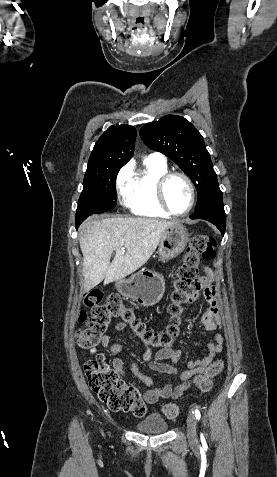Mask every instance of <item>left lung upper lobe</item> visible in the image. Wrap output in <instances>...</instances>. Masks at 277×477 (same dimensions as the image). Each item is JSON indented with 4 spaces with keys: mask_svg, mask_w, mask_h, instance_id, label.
I'll use <instances>...</instances> for the list:
<instances>
[{
    "mask_svg": "<svg viewBox=\"0 0 277 477\" xmlns=\"http://www.w3.org/2000/svg\"><path fill=\"white\" fill-rule=\"evenodd\" d=\"M140 136L149 148L165 154L191 178L198 192L195 213L222 195L203 137L188 120L166 115L144 125Z\"/></svg>",
    "mask_w": 277,
    "mask_h": 477,
    "instance_id": "1",
    "label": "left lung upper lobe"
}]
</instances>
